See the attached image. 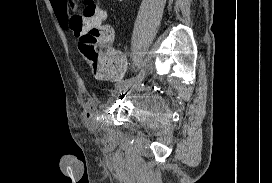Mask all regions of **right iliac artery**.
Returning a JSON list of instances; mask_svg holds the SVG:
<instances>
[{"label":"right iliac artery","instance_id":"82829eb1","mask_svg":"<svg viewBox=\"0 0 272 183\" xmlns=\"http://www.w3.org/2000/svg\"><path fill=\"white\" fill-rule=\"evenodd\" d=\"M135 71L138 73L140 70L137 68ZM135 79H136V77H133L131 79L125 80V82H129V81H132ZM121 82H123V81L117 80L116 86H118Z\"/></svg>","mask_w":272,"mask_h":183}]
</instances>
